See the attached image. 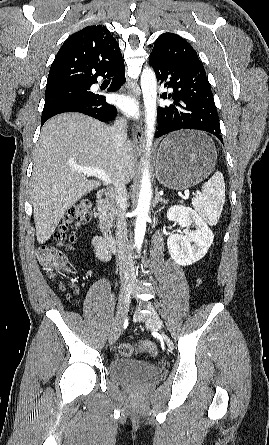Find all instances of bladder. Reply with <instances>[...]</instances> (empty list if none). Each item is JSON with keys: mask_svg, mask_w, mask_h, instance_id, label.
Returning <instances> with one entry per match:
<instances>
[{"mask_svg": "<svg viewBox=\"0 0 269 445\" xmlns=\"http://www.w3.org/2000/svg\"><path fill=\"white\" fill-rule=\"evenodd\" d=\"M109 373L122 382H144L155 378L159 368L155 364L131 359H116L111 362Z\"/></svg>", "mask_w": 269, "mask_h": 445, "instance_id": "bladder-1", "label": "bladder"}]
</instances>
